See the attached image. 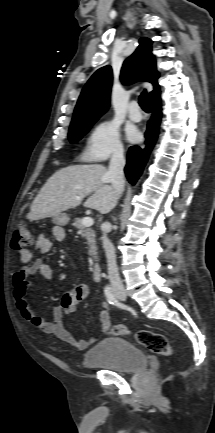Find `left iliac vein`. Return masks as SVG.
<instances>
[{"label":"left iliac vein","instance_id":"1","mask_svg":"<svg viewBox=\"0 0 215 433\" xmlns=\"http://www.w3.org/2000/svg\"><path fill=\"white\" fill-rule=\"evenodd\" d=\"M118 298H119L120 300H125V298H121V297H119V296H118Z\"/></svg>","mask_w":215,"mask_h":433}]
</instances>
